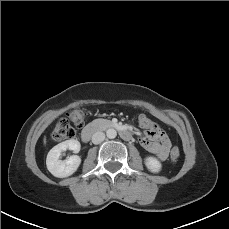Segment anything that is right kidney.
Masks as SVG:
<instances>
[{
	"mask_svg": "<svg viewBox=\"0 0 229 229\" xmlns=\"http://www.w3.org/2000/svg\"><path fill=\"white\" fill-rule=\"evenodd\" d=\"M80 148V142L74 139L66 140L54 146L46 158V165L49 172L58 178L71 176L78 169L81 158L78 155H72L66 160H60L59 157L61 153L67 149L78 153Z\"/></svg>",
	"mask_w": 229,
	"mask_h": 229,
	"instance_id": "right-kidney-1",
	"label": "right kidney"
}]
</instances>
